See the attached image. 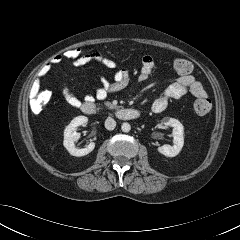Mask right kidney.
Instances as JSON below:
<instances>
[{
  "label": "right kidney",
  "instance_id": "ca27d5eb",
  "mask_svg": "<svg viewBox=\"0 0 240 240\" xmlns=\"http://www.w3.org/2000/svg\"><path fill=\"white\" fill-rule=\"evenodd\" d=\"M88 122V118L86 116H78L75 117L70 124L64 130V147L68 150V152L72 156L81 157L89 154L95 148V143H89L86 148L78 149L75 147V141L80 138V133H77V127L81 125H85Z\"/></svg>",
  "mask_w": 240,
  "mask_h": 240
}]
</instances>
